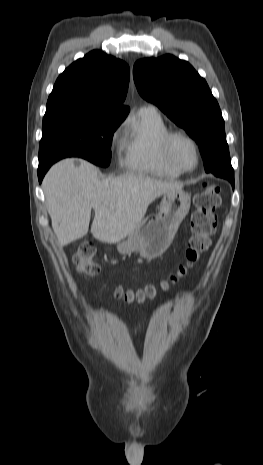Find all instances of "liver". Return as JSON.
<instances>
[{"instance_id":"liver-1","label":"liver","mask_w":263,"mask_h":465,"mask_svg":"<svg viewBox=\"0 0 263 465\" xmlns=\"http://www.w3.org/2000/svg\"><path fill=\"white\" fill-rule=\"evenodd\" d=\"M64 159L51 167L43 180L47 209L60 245L88 233L91 209L95 217L91 233L99 241L117 243L144 218L159 196L180 191L183 184L143 175L98 179L99 170L85 160Z\"/></svg>"}]
</instances>
